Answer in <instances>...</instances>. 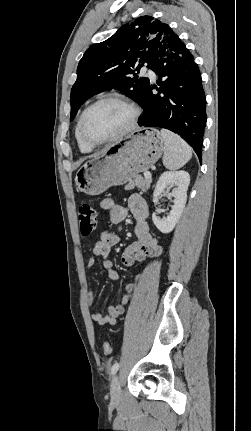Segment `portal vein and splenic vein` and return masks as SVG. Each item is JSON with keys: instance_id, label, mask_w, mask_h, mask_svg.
<instances>
[{"instance_id": "18ae733b", "label": "portal vein and splenic vein", "mask_w": 251, "mask_h": 431, "mask_svg": "<svg viewBox=\"0 0 251 431\" xmlns=\"http://www.w3.org/2000/svg\"><path fill=\"white\" fill-rule=\"evenodd\" d=\"M144 177L145 178H151V173L150 172H145L144 173Z\"/></svg>"}]
</instances>
